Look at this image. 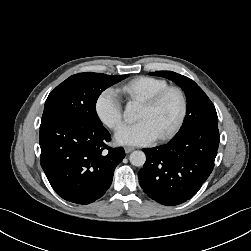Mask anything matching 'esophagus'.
<instances>
[{"label":"esophagus","instance_id":"1","mask_svg":"<svg viewBox=\"0 0 251 251\" xmlns=\"http://www.w3.org/2000/svg\"><path fill=\"white\" fill-rule=\"evenodd\" d=\"M124 150L126 153H130L134 150V148L133 147H125Z\"/></svg>","mask_w":251,"mask_h":251}]
</instances>
